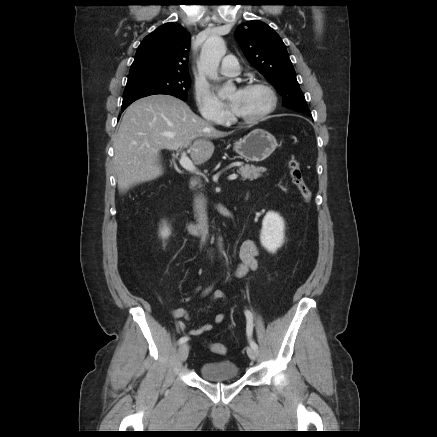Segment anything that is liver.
<instances>
[{
	"mask_svg": "<svg viewBox=\"0 0 437 437\" xmlns=\"http://www.w3.org/2000/svg\"><path fill=\"white\" fill-rule=\"evenodd\" d=\"M231 133L216 130L185 102L170 95L135 101L126 109L114 140L113 165L119 192L163 174L161 149L188 148L193 163L201 165L214 152L209 139Z\"/></svg>",
	"mask_w": 437,
	"mask_h": 437,
	"instance_id": "6515ba94",
	"label": "liver"
}]
</instances>
